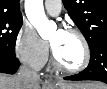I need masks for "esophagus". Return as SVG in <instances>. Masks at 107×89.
<instances>
[{
	"label": "esophagus",
	"mask_w": 107,
	"mask_h": 89,
	"mask_svg": "<svg viewBox=\"0 0 107 89\" xmlns=\"http://www.w3.org/2000/svg\"><path fill=\"white\" fill-rule=\"evenodd\" d=\"M45 83H46V84H49V83H50V81H49V80H45Z\"/></svg>",
	"instance_id": "esophagus-1"
}]
</instances>
